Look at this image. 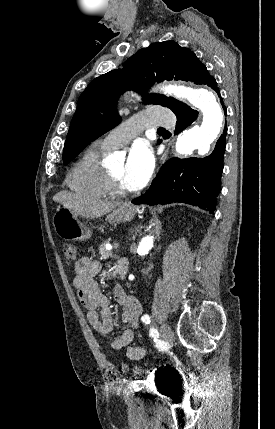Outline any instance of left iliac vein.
Wrapping results in <instances>:
<instances>
[{
    "label": "left iliac vein",
    "instance_id": "left-iliac-vein-1",
    "mask_svg": "<svg viewBox=\"0 0 275 429\" xmlns=\"http://www.w3.org/2000/svg\"><path fill=\"white\" fill-rule=\"evenodd\" d=\"M160 336L166 344H170L173 342L174 334L171 328L167 324H162L160 327Z\"/></svg>",
    "mask_w": 275,
    "mask_h": 429
}]
</instances>
